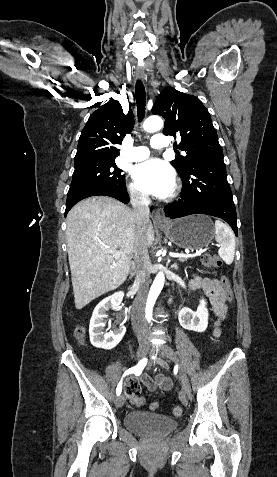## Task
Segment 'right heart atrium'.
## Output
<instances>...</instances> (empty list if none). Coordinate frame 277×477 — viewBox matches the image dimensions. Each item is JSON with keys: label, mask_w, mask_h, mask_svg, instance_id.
Wrapping results in <instances>:
<instances>
[{"label": "right heart atrium", "mask_w": 277, "mask_h": 477, "mask_svg": "<svg viewBox=\"0 0 277 477\" xmlns=\"http://www.w3.org/2000/svg\"><path fill=\"white\" fill-rule=\"evenodd\" d=\"M128 192L132 200L136 202L144 203L148 200L146 193L132 182L128 184Z\"/></svg>", "instance_id": "d8ad5b80"}]
</instances>
